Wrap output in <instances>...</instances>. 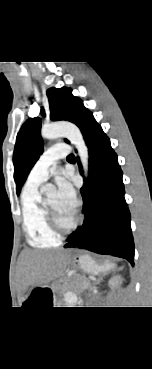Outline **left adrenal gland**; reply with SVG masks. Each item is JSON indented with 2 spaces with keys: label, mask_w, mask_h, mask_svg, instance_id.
Listing matches in <instances>:
<instances>
[{
  "label": "left adrenal gland",
  "mask_w": 152,
  "mask_h": 369,
  "mask_svg": "<svg viewBox=\"0 0 152 369\" xmlns=\"http://www.w3.org/2000/svg\"><path fill=\"white\" fill-rule=\"evenodd\" d=\"M105 275H106V274L104 273V274H102V275L98 278V280L94 283V287H95L96 285L100 284V282L103 280V277H104Z\"/></svg>",
  "instance_id": "left-adrenal-gland-1"
}]
</instances>
